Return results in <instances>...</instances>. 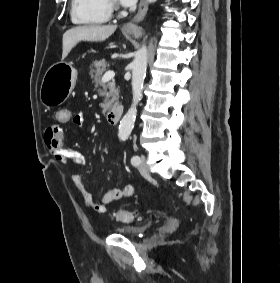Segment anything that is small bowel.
Returning a JSON list of instances; mask_svg holds the SVG:
<instances>
[{"instance_id": "small-bowel-1", "label": "small bowel", "mask_w": 280, "mask_h": 283, "mask_svg": "<svg viewBox=\"0 0 280 283\" xmlns=\"http://www.w3.org/2000/svg\"><path fill=\"white\" fill-rule=\"evenodd\" d=\"M72 114L73 122L82 127L85 124V118L81 113ZM44 142L45 145L50 152V154L62 165H83L85 162V158L83 154L80 152L72 149V148H64V133L61 125L58 123L50 125L45 133H44ZM72 182L80 193L85 206L97 213H104L106 212L107 205L114 203L121 199L130 198L133 193L134 189L131 185L124 186L120 189H112L105 192L102 196L101 202H96L93 200L92 195L89 191L85 188L83 184V176L80 174L73 175Z\"/></svg>"}]
</instances>
